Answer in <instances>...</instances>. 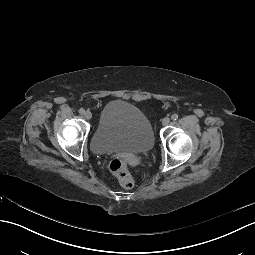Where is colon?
<instances>
[{
  "label": "colon",
  "mask_w": 255,
  "mask_h": 255,
  "mask_svg": "<svg viewBox=\"0 0 255 255\" xmlns=\"http://www.w3.org/2000/svg\"><path fill=\"white\" fill-rule=\"evenodd\" d=\"M110 170L116 176L123 188L130 189L134 186V178L127 168V162L125 159H113L110 163Z\"/></svg>",
  "instance_id": "obj_1"
}]
</instances>
